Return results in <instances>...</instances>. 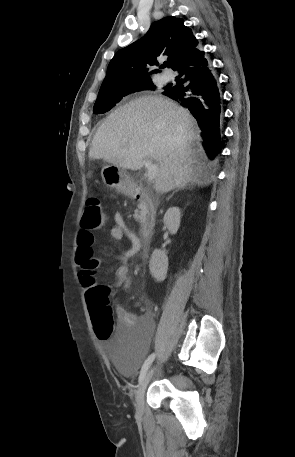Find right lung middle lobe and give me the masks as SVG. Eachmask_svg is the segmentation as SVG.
<instances>
[{"mask_svg":"<svg viewBox=\"0 0 295 457\" xmlns=\"http://www.w3.org/2000/svg\"><path fill=\"white\" fill-rule=\"evenodd\" d=\"M155 90L156 86L152 80H146L134 85H126L109 91H100L95 102L93 112L95 114L105 113L113 108L123 97L140 91Z\"/></svg>","mask_w":295,"mask_h":457,"instance_id":"right-lung-middle-lobe-1","label":"right lung middle lobe"}]
</instances>
